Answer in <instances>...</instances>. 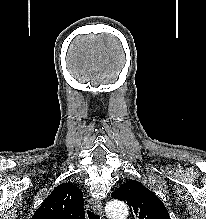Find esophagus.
Segmentation results:
<instances>
[{"label":"esophagus","instance_id":"obj_1","mask_svg":"<svg viewBox=\"0 0 206 219\" xmlns=\"http://www.w3.org/2000/svg\"><path fill=\"white\" fill-rule=\"evenodd\" d=\"M89 203L91 205V208L97 212L101 217L102 219H104V211H103V207H102V202L95 198V197H91L90 200H89Z\"/></svg>","mask_w":206,"mask_h":219}]
</instances>
